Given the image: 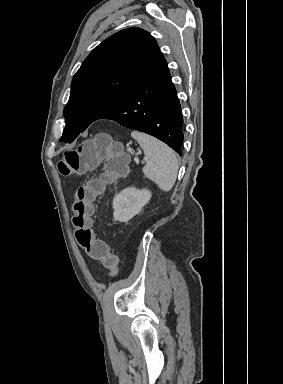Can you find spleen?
Returning <instances> with one entry per match:
<instances>
[{
	"label": "spleen",
	"mask_w": 283,
	"mask_h": 384,
	"mask_svg": "<svg viewBox=\"0 0 283 384\" xmlns=\"http://www.w3.org/2000/svg\"><path fill=\"white\" fill-rule=\"evenodd\" d=\"M134 140H137L142 148L147 160L143 168L145 178L155 182L160 190L169 192L173 188L178 174V162L175 152L148 134L141 132H132Z\"/></svg>",
	"instance_id": "1"
}]
</instances>
